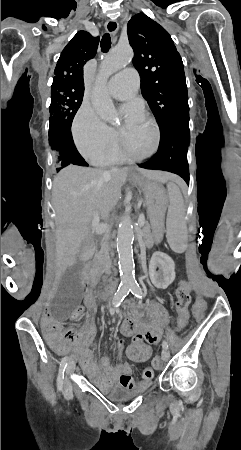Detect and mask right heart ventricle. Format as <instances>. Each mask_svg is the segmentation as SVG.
I'll list each match as a JSON object with an SVG mask.
<instances>
[{
    "label": "right heart ventricle",
    "instance_id": "obj_1",
    "mask_svg": "<svg viewBox=\"0 0 241 450\" xmlns=\"http://www.w3.org/2000/svg\"><path fill=\"white\" fill-rule=\"evenodd\" d=\"M110 145L114 146V151L110 155H108L106 158L101 159V160H90V162L95 165H101V166H108V165H114V164L121 163L126 158V153H125V157H119V152L117 149L118 143L114 142Z\"/></svg>",
    "mask_w": 241,
    "mask_h": 450
}]
</instances>
